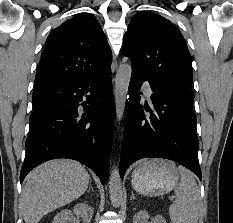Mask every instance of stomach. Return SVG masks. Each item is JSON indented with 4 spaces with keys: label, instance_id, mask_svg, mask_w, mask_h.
I'll use <instances>...</instances> for the list:
<instances>
[{
    "label": "stomach",
    "instance_id": "stomach-1",
    "mask_svg": "<svg viewBox=\"0 0 233 223\" xmlns=\"http://www.w3.org/2000/svg\"><path fill=\"white\" fill-rule=\"evenodd\" d=\"M180 173L176 163L168 159H143L132 173V187L142 195L156 197L176 187Z\"/></svg>",
    "mask_w": 233,
    "mask_h": 223
}]
</instances>
